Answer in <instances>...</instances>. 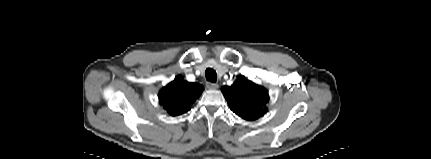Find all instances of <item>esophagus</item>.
Returning <instances> with one entry per match:
<instances>
[{
    "label": "esophagus",
    "mask_w": 431,
    "mask_h": 159,
    "mask_svg": "<svg viewBox=\"0 0 431 159\" xmlns=\"http://www.w3.org/2000/svg\"><path fill=\"white\" fill-rule=\"evenodd\" d=\"M206 86L209 89H217L219 87L217 83H212V82H208Z\"/></svg>",
    "instance_id": "obj_1"
}]
</instances>
